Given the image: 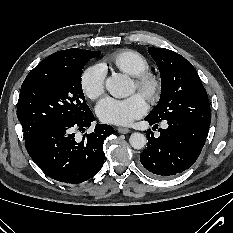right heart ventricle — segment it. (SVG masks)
I'll return each instance as SVG.
<instances>
[{"label":"right heart ventricle","mask_w":233,"mask_h":233,"mask_svg":"<svg viewBox=\"0 0 233 233\" xmlns=\"http://www.w3.org/2000/svg\"><path fill=\"white\" fill-rule=\"evenodd\" d=\"M104 63L133 77L149 69L148 60L141 53L130 49L112 54L105 58Z\"/></svg>","instance_id":"e07e8e85"}]
</instances>
